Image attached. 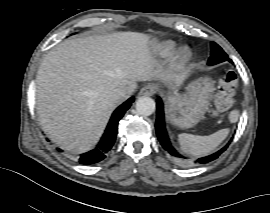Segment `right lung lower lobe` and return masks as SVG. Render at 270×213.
<instances>
[{
    "mask_svg": "<svg viewBox=\"0 0 270 213\" xmlns=\"http://www.w3.org/2000/svg\"><path fill=\"white\" fill-rule=\"evenodd\" d=\"M134 102V98H129L126 102L120 105L113 113L107 129L95 149L85 154H82L79 158L81 164L89 165L97 163L106 157V153L112 148L118 129V122L124 115V113L129 109L131 104ZM60 152L62 150L58 149Z\"/></svg>",
    "mask_w": 270,
    "mask_h": 213,
    "instance_id": "right-lung-lower-lobe-1",
    "label": "right lung lower lobe"
}]
</instances>
